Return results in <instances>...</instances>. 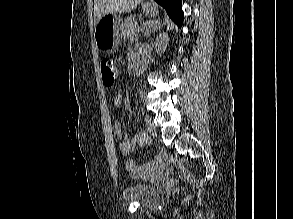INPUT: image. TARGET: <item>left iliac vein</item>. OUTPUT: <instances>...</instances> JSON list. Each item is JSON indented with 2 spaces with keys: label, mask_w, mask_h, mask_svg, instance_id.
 I'll return each instance as SVG.
<instances>
[{
  "label": "left iliac vein",
  "mask_w": 293,
  "mask_h": 219,
  "mask_svg": "<svg viewBox=\"0 0 293 219\" xmlns=\"http://www.w3.org/2000/svg\"><path fill=\"white\" fill-rule=\"evenodd\" d=\"M145 121L149 133L154 136L156 134V129L153 124L152 117L149 114H146Z\"/></svg>",
  "instance_id": "4c4485c4"
}]
</instances>
